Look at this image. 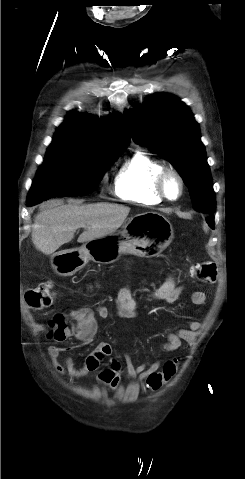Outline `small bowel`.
<instances>
[{
    "label": "small bowel",
    "mask_w": 245,
    "mask_h": 479,
    "mask_svg": "<svg viewBox=\"0 0 245 479\" xmlns=\"http://www.w3.org/2000/svg\"><path fill=\"white\" fill-rule=\"evenodd\" d=\"M183 292V287L176 282L174 275H169L167 279L157 287L150 295L155 300L166 303L176 302ZM206 301V294L202 291H195L191 294V302L194 305H202ZM116 314L120 318L129 319L138 316L139 303L134 298L131 289L125 285L119 289L115 296ZM72 314L77 318L78 329L76 334H93L96 330L94 314L102 319L110 317V311L103 305H97L92 308H80L74 310ZM51 325V321L49 322ZM201 328V323L197 320H190L187 328H181L176 332H169L167 340L162 344V350L170 353L178 350L183 341H190L195 332ZM55 340V339H54ZM61 340H55L54 344L48 347V355L52 361L54 369L61 375H67L73 379H79L89 373H96L97 382L112 390L118 389L122 384L121 370L122 366L116 359L111 360V364L107 368L101 369L102 360L112 355L113 349L109 343L102 342L97 348L92 350L85 357L84 363L77 367L71 357H66L63 364L58 361V357L62 351L60 346ZM165 364V363H164ZM164 364L161 361L147 365L141 363L134 365L130 357L126 356V378L129 380L146 381L147 378L156 372L162 370Z\"/></svg>",
    "instance_id": "c3829d8e"
}]
</instances>
